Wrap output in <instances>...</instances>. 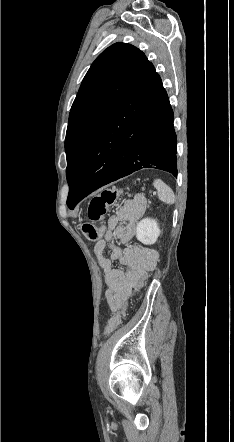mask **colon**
I'll return each mask as SVG.
<instances>
[{"label":"colon","mask_w":234,"mask_h":442,"mask_svg":"<svg viewBox=\"0 0 234 442\" xmlns=\"http://www.w3.org/2000/svg\"><path fill=\"white\" fill-rule=\"evenodd\" d=\"M120 195L118 189H106L99 195L93 197L88 206V217L91 222L82 225L83 234L91 241L99 240L104 234V228L101 224L107 209L113 205ZM125 310L114 315L105 328L106 334L114 332L121 324Z\"/></svg>","instance_id":"obj_1"}]
</instances>
